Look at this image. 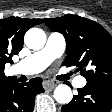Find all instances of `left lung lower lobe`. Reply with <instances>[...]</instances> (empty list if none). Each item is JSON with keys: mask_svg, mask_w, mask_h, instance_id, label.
I'll use <instances>...</instances> for the list:
<instances>
[{"mask_svg": "<svg viewBox=\"0 0 112 112\" xmlns=\"http://www.w3.org/2000/svg\"><path fill=\"white\" fill-rule=\"evenodd\" d=\"M112 108V85L87 83L78 89L72 101L62 106V112H109Z\"/></svg>", "mask_w": 112, "mask_h": 112, "instance_id": "0a47b994", "label": "left lung lower lobe"}]
</instances>
